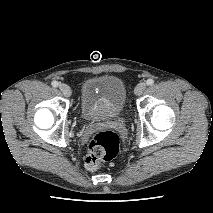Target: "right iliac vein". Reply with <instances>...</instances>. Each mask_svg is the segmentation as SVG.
<instances>
[{
    "instance_id": "1",
    "label": "right iliac vein",
    "mask_w": 213,
    "mask_h": 213,
    "mask_svg": "<svg viewBox=\"0 0 213 213\" xmlns=\"http://www.w3.org/2000/svg\"><path fill=\"white\" fill-rule=\"evenodd\" d=\"M59 89L65 97H70L72 94L71 88L67 84H60Z\"/></svg>"
}]
</instances>
